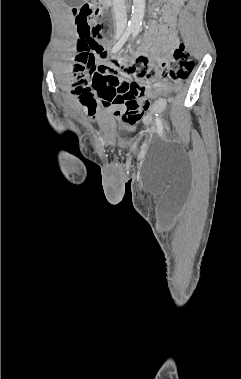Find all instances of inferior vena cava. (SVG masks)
I'll return each mask as SVG.
<instances>
[{"label": "inferior vena cava", "instance_id": "inferior-vena-cava-1", "mask_svg": "<svg viewBox=\"0 0 241 379\" xmlns=\"http://www.w3.org/2000/svg\"><path fill=\"white\" fill-rule=\"evenodd\" d=\"M113 9L116 19V36L120 37L127 25L125 0H113Z\"/></svg>", "mask_w": 241, "mask_h": 379}]
</instances>
